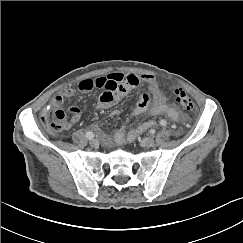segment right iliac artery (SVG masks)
<instances>
[{
	"instance_id": "right-iliac-artery-1",
	"label": "right iliac artery",
	"mask_w": 243,
	"mask_h": 243,
	"mask_svg": "<svg viewBox=\"0 0 243 243\" xmlns=\"http://www.w3.org/2000/svg\"><path fill=\"white\" fill-rule=\"evenodd\" d=\"M86 137L88 139H92L94 137V134L92 132L88 131V132H86Z\"/></svg>"
}]
</instances>
